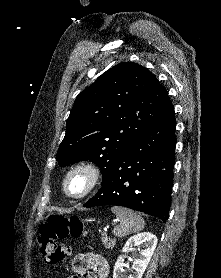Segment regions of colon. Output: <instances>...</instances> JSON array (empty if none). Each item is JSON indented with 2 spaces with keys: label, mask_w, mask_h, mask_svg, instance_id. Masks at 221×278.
<instances>
[{
  "label": "colon",
  "mask_w": 221,
  "mask_h": 278,
  "mask_svg": "<svg viewBox=\"0 0 221 278\" xmlns=\"http://www.w3.org/2000/svg\"><path fill=\"white\" fill-rule=\"evenodd\" d=\"M84 234L85 228L79 217L50 216L39 227L37 239L44 262L58 268L69 254V249L62 244V240L68 237L80 238Z\"/></svg>",
  "instance_id": "obj_1"
}]
</instances>
